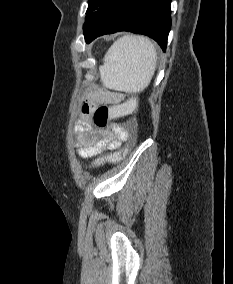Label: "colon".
<instances>
[{
	"instance_id": "5ec220e1",
	"label": "colon",
	"mask_w": 233,
	"mask_h": 284,
	"mask_svg": "<svg viewBox=\"0 0 233 284\" xmlns=\"http://www.w3.org/2000/svg\"><path fill=\"white\" fill-rule=\"evenodd\" d=\"M138 97H132L124 103L116 106L101 105L93 112V122L98 128H106L111 119L123 117L132 114L138 107ZM136 135L130 131L126 138L125 145L117 152L102 157L94 162V166L104 164L106 162H117L123 159L133 147Z\"/></svg>"
}]
</instances>
